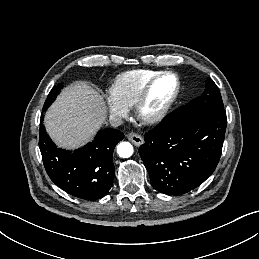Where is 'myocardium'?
I'll list each match as a JSON object with an SVG mask.
<instances>
[{
	"mask_svg": "<svg viewBox=\"0 0 259 259\" xmlns=\"http://www.w3.org/2000/svg\"><path fill=\"white\" fill-rule=\"evenodd\" d=\"M166 76H172L175 79L176 86H175L173 95L166 102V104L155 114H153L149 117L143 116L142 110H143V107L145 105V102L147 100V97H148L153 85L158 80H160L161 78L166 77ZM180 89H181V82H180L178 75L175 72L161 71V72L157 73L144 85V87L142 88V90L140 91L138 97L136 98V100L134 102L133 111H134L135 118L139 122H141L145 125H153V124H156V123L162 121L165 118V116L168 114V112L170 111V109L172 108L174 103L176 102L178 95L180 93Z\"/></svg>",
	"mask_w": 259,
	"mask_h": 259,
	"instance_id": "obj_1",
	"label": "myocardium"
}]
</instances>
